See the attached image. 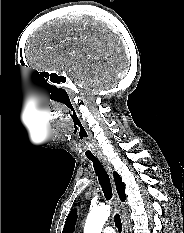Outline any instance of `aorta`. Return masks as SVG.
<instances>
[{"mask_svg": "<svg viewBox=\"0 0 184 233\" xmlns=\"http://www.w3.org/2000/svg\"><path fill=\"white\" fill-rule=\"evenodd\" d=\"M110 206L100 205L92 208L87 216L84 233H101L103 225L110 216Z\"/></svg>", "mask_w": 184, "mask_h": 233, "instance_id": "aorta-1", "label": "aorta"}]
</instances>
